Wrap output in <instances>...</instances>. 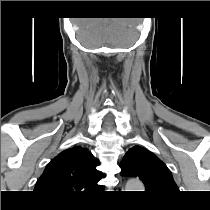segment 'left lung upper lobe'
Here are the masks:
<instances>
[{
	"mask_svg": "<svg viewBox=\"0 0 210 210\" xmlns=\"http://www.w3.org/2000/svg\"><path fill=\"white\" fill-rule=\"evenodd\" d=\"M120 168L122 175L139 177L148 193L166 196L179 191L167 166L143 147H132L125 154Z\"/></svg>",
	"mask_w": 210,
	"mask_h": 210,
	"instance_id": "obj_1",
	"label": "left lung upper lobe"
}]
</instances>
